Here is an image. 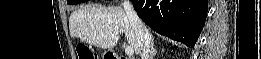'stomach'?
I'll return each instance as SVG.
<instances>
[{"instance_id": "stomach-1", "label": "stomach", "mask_w": 261, "mask_h": 59, "mask_svg": "<svg viewBox=\"0 0 261 59\" xmlns=\"http://www.w3.org/2000/svg\"><path fill=\"white\" fill-rule=\"evenodd\" d=\"M105 56H106V54H103V55H102V58H104Z\"/></svg>"}]
</instances>
